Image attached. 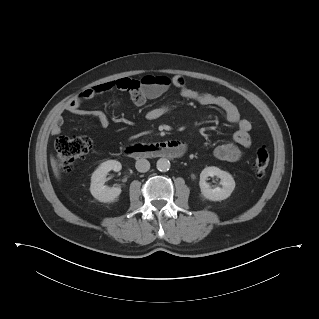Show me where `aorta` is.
Returning a JSON list of instances; mask_svg holds the SVG:
<instances>
[{
  "mask_svg": "<svg viewBox=\"0 0 319 319\" xmlns=\"http://www.w3.org/2000/svg\"><path fill=\"white\" fill-rule=\"evenodd\" d=\"M157 169L161 172H166L170 169V162L168 159L166 158H160L158 161H157Z\"/></svg>",
  "mask_w": 319,
  "mask_h": 319,
  "instance_id": "obj_1",
  "label": "aorta"
}]
</instances>
